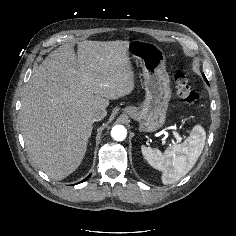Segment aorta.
I'll return each instance as SVG.
<instances>
[{
    "label": "aorta",
    "instance_id": "aorta-1",
    "mask_svg": "<svg viewBox=\"0 0 236 236\" xmlns=\"http://www.w3.org/2000/svg\"><path fill=\"white\" fill-rule=\"evenodd\" d=\"M111 136L116 141H123L127 136V130L123 125H116L111 130Z\"/></svg>",
    "mask_w": 236,
    "mask_h": 236
}]
</instances>
